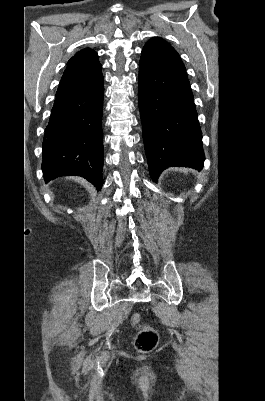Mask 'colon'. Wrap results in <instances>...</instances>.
Masks as SVG:
<instances>
[{"mask_svg": "<svg viewBox=\"0 0 265 401\" xmlns=\"http://www.w3.org/2000/svg\"><path fill=\"white\" fill-rule=\"evenodd\" d=\"M130 322L137 330L134 340L135 349L140 353H149L153 351L158 344L157 332L150 326L141 325V316L139 313L132 314Z\"/></svg>", "mask_w": 265, "mask_h": 401, "instance_id": "colon-1", "label": "colon"}]
</instances>
